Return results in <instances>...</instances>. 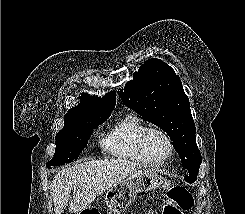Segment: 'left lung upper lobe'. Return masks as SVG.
<instances>
[{
  "mask_svg": "<svg viewBox=\"0 0 245 214\" xmlns=\"http://www.w3.org/2000/svg\"><path fill=\"white\" fill-rule=\"evenodd\" d=\"M118 94L127 107L164 130L173 140L183 168L189 175L198 174L202 159L195 124L189 99L174 70L162 60L149 59Z\"/></svg>",
  "mask_w": 245,
  "mask_h": 214,
  "instance_id": "left-lung-upper-lobe-1",
  "label": "left lung upper lobe"
}]
</instances>
